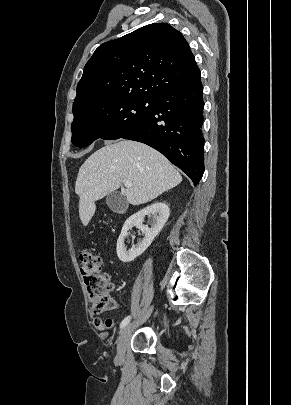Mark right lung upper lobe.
Returning <instances> with one entry per match:
<instances>
[{
  "instance_id": "obj_1",
  "label": "right lung upper lobe",
  "mask_w": 291,
  "mask_h": 405,
  "mask_svg": "<svg viewBox=\"0 0 291 405\" xmlns=\"http://www.w3.org/2000/svg\"><path fill=\"white\" fill-rule=\"evenodd\" d=\"M200 75L183 35L167 23L100 45L84 67L72 111L127 96L149 99Z\"/></svg>"
}]
</instances>
